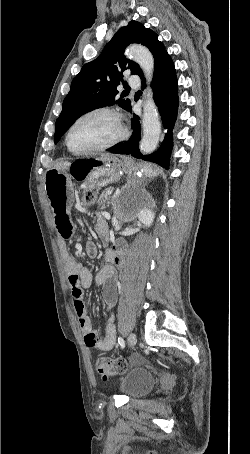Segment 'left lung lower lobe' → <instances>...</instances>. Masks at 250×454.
Segmentation results:
<instances>
[{"label": "left lung lower lobe", "mask_w": 250, "mask_h": 454, "mask_svg": "<svg viewBox=\"0 0 250 454\" xmlns=\"http://www.w3.org/2000/svg\"><path fill=\"white\" fill-rule=\"evenodd\" d=\"M142 84L145 85L144 78ZM151 87L153 88L154 101L160 112L163 125L165 128L169 129L162 145L152 154L143 156L140 153L139 141L141 128L139 117L134 115V118L131 121L134 131L130 139L126 142H120L114 145L109 151L114 154H131L133 157L150 160L168 169L169 157L172 149V128L176 120L179 103L176 71L168 53L155 65ZM128 110L131 111V106Z\"/></svg>", "instance_id": "obj_1"}]
</instances>
